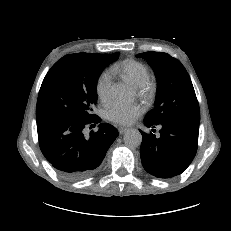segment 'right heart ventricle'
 I'll return each instance as SVG.
<instances>
[{"mask_svg": "<svg viewBox=\"0 0 231 231\" xmlns=\"http://www.w3.org/2000/svg\"><path fill=\"white\" fill-rule=\"evenodd\" d=\"M112 72L118 74L124 81L134 87L140 86L149 75L148 67L137 60L126 59L112 67Z\"/></svg>", "mask_w": 231, "mask_h": 231, "instance_id": "1", "label": "right heart ventricle"}]
</instances>
